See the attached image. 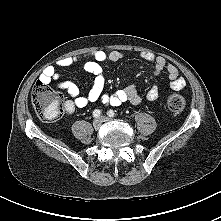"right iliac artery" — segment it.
Segmentation results:
<instances>
[{"label": "right iliac artery", "mask_w": 221, "mask_h": 221, "mask_svg": "<svg viewBox=\"0 0 221 221\" xmlns=\"http://www.w3.org/2000/svg\"><path fill=\"white\" fill-rule=\"evenodd\" d=\"M100 115H101V111L100 110H98V109L94 110L93 117L98 118V117H100Z\"/></svg>", "instance_id": "1"}]
</instances>
